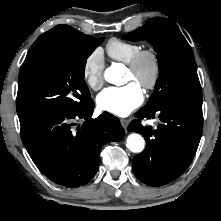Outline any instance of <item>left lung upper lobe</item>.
I'll return each instance as SVG.
<instances>
[{
	"label": "left lung upper lobe",
	"mask_w": 221,
	"mask_h": 221,
	"mask_svg": "<svg viewBox=\"0 0 221 221\" xmlns=\"http://www.w3.org/2000/svg\"><path fill=\"white\" fill-rule=\"evenodd\" d=\"M123 39L147 40L157 52L159 77L145 106L159 100L202 105L201 86L192 49L172 21L165 18L155 19L126 34Z\"/></svg>",
	"instance_id": "1"
}]
</instances>
